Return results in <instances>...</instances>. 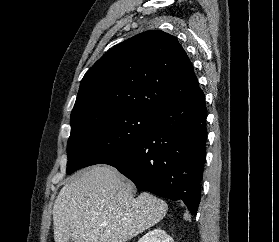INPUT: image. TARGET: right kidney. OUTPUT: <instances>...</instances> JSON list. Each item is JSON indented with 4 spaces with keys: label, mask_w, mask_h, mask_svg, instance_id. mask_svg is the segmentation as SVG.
I'll use <instances>...</instances> for the list:
<instances>
[{
    "label": "right kidney",
    "mask_w": 279,
    "mask_h": 242,
    "mask_svg": "<svg viewBox=\"0 0 279 242\" xmlns=\"http://www.w3.org/2000/svg\"><path fill=\"white\" fill-rule=\"evenodd\" d=\"M138 242H174V240L163 229L156 228L146 233Z\"/></svg>",
    "instance_id": "obj_1"
}]
</instances>
